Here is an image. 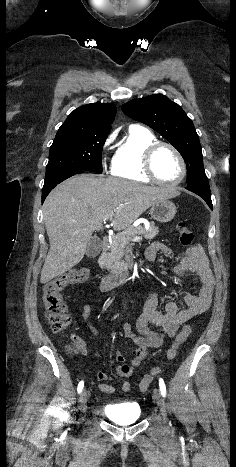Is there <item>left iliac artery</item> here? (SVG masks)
<instances>
[{
    "label": "left iliac artery",
    "instance_id": "left-iliac-artery-1",
    "mask_svg": "<svg viewBox=\"0 0 236 467\" xmlns=\"http://www.w3.org/2000/svg\"><path fill=\"white\" fill-rule=\"evenodd\" d=\"M159 387H160V391H161V394L163 397L166 396V386H165V383L163 381V379H159Z\"/></svg>",
    "mask_w": 236,
    "mask_h": 467
}]
</instances>
